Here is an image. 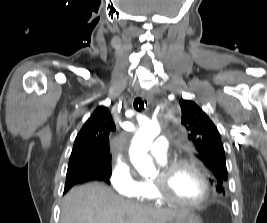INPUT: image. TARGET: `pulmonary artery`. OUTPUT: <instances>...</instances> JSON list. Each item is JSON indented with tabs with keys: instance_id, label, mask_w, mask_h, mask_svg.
<instances>
[{
	"instance_id": "1",
	"label": "pulmonary artery",
	"mask_w": 267,
	"mask_h": 223,
	"mask_svg": "<svg viewBox=\"0 0 267 223\" xmlns=\"http://www.w3.org/2000/svg\"><path fill=\"white\" fill-rule=\"evenodd\" d=\"M168 148V140L165 137H158L150 147L149 153L159 160H165L167 157Z\"/></svg>"
}]
</instances>
